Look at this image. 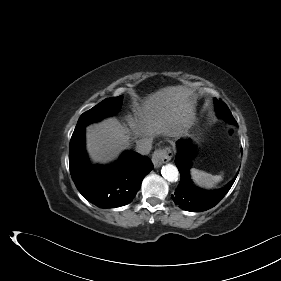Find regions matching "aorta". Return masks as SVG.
<instances>
[{
    "label": "aorta",
    "mask_w": 281,
    "mask_h": 281,
    "mask_svg": "<svg viewBox=\"0 0 281 281\" xmlns=\"http://www.w3.org/2000/svg\"><path fill=\"white\" fill-rule=\"evenodd\" d=\"M162 176L169 182H174L178 180L179 171L173 164H166L161 170Z\"/></svg>",
    "instance_id": "1"
}]
</instances>
